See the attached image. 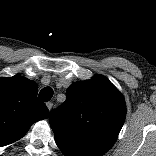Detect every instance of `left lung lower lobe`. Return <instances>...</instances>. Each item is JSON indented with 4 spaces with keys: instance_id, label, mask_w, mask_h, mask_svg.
Masks as SVG:
<instances>
[{
    "instance_id": "1",
    "label": "left lung lower lobe",
    "mask_w": 156,
    "mask_h": 156,
    "mask_svg": "<svg viewBox=\"0 0 156 156\" xmlns=\"http://www.w3.org/2000/svg\"><path fill=\"white\" fill-rule=\"evenodd\" d=\"M56 144L58 145L59 149L63 152L65 156H87L86 154L80 153L78 151L66 147L65 145H63L58 141H56Z\"/></svg>"
}]
</instances>
